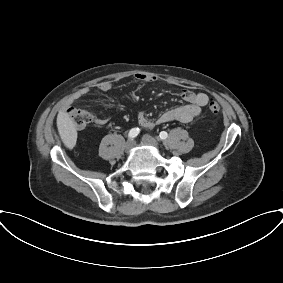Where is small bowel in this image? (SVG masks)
Here are the masks:
<instances>
[{
  "instance_id": "small-bowel-1",
  "label": "small bowel",
  "mask_w": 283,
  "mask_h": 283,
  "mask_svg": "<svg viewBox=\"0 0 283 283\" xmlns=\"http://www.w3.org/2000/svg\"><path fill=\"white\" fill-rule=\"evenodd\" d=\"M134 78L140 83H151L157 80L155 76L143 73L136 74ZM97 88L100 92L106 93L111 90L112 85L110 82L104 81L99 83ZM88 94L89 89L82 88L78 91L76 99H80ZM181 97L186 104L164 111L155 121L149 119L144 112H139V125L145 129H152L156 124H163L172 121H178L181 123L191 122L201 114L202 108L205 107L209 101V97L206 93L195 92L192 90H184L181 93ZM108 121L109 119L106 117H94V122L97 125H105Z\"/></svg>"
}]
</instances>
